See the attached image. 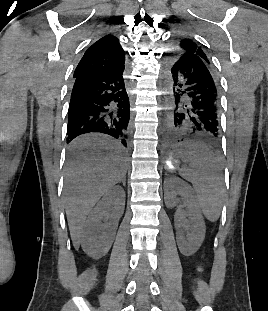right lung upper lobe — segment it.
<instances>
[{"mask_svg": "<svg viewBox=\"0 0 268 311\" xmlns=\"http://www.w3.org/2000/svg\"><path fill=\"white\" fill-rule=\"evenodd\" d=\"M124 63L125 53L119 39L108 34L87 49L74 72V77L86 73L120 69Z\"/></svg>", "mask_w": 268, "mask_h": 311, "instance_id": "cb5924a9", "label": "right lung upper lobe"}]
</instances>
